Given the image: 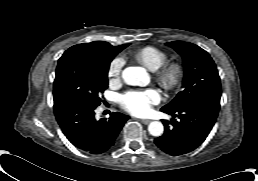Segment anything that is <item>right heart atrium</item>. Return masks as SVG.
Instances as JSON below:
<instances>
[{"label":"right heart atrium","mask_w":258,"mask_h":181,"mask_svg":"<svg viewBox=\"0 0 258 181\" xmlns=\"http://www.w3.org/2000/svg\"><path fill=\"white\" fill-rule=\"evenodd\" d=\"M124 63L125 61L122 57L114 58L108 68L109 78L114 80L120 79Z\"/></svg>","instance_id":"d8ad5b80"}]
</instances>
